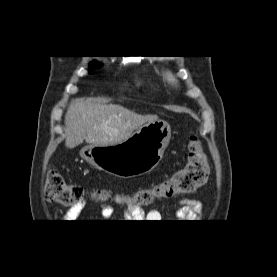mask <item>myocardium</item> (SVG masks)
<instances>
[{"label": "myocardium", "instance_id": "f54148a6", "mask_svg": "<svg viewBox=\"0 0 277 277\" xmlns=\"http://www.w3.org/2000/svg\"><path fill=\"white\" fill-rule=\"evenodd\" d=\"M164 77L166 79V81L170 84V85H175L176 84V80L175 78L173 77L172 73L169 72V71H166L164 73Z\"/></svg>", "mask_w": 277, "mask_h": 277}]
</instances>
